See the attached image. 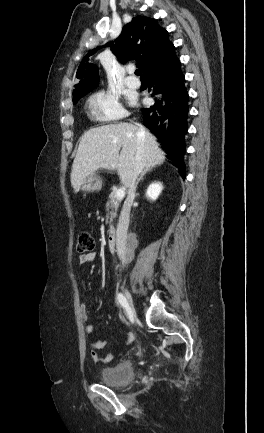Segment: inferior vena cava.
<instances>
[{"mask_svg": "<svg viewBox=\"0 0 264 433\" xmlns=\"http://www.w3.org/2000/svg\"><path fill=\"white\" fill-rule=\"evenodd\" d=\"M144 135H145L144 129L142 127H138L137 139H138L139 147L137 151L136 164L128 186V196L124 203L123 210H121L120 212L121 216L119 219V229L116 236V241H117L116 256L119 259H122L126 254L125 243L127 242V236H128L127 228L129 224L131 205L135 197L136 179L144 167L143 159H142V140L144 138Z\"/></svg>", "mask_w": 264, "mask_h": 433, "instance_id": "1", "label": "inferior vena cava"}]
</instances>
